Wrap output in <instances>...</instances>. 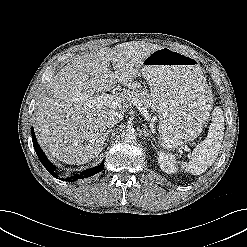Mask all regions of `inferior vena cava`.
Here are the masks:
<instances>
[{
  "mask_svg": "<svg viewBox=\"0 0 247 247\" xmlns=\"http://www.w3.org/2000/svg\"><path fill=\"white\" fill-rule=\"evenodd\" d=\"M122 120V115L119 112H109L105 117V126L107 128L114 127L117 123Z\"/></svg>",
  "mask_w": 247,
  "mask_h": 247,
  "instance_id": "inferior-vena-cava-1",
  "label": "inferior vena cava"
}]
</instances>
